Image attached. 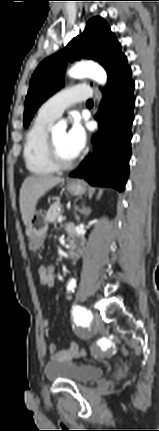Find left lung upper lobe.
Instances as JSON below:
<instances>
[{
	"label": "left lung upper lobe",
	"instance_id": "5c2ea615",
	"mask_svg": "<svg viewBox=\"0 0 159 431\" xmlns=\"http://www.w3.org/2000/svg\"><path fill=\"white\" fill-rule=\"evenodd\" d=\"M81 58L102 64L108 73V81L127 65L121 45L106 22L100 17L90 19L80 37H75L64 50L44 59L34 71L25 101V127L40 105L64 85L62 76L67 60L72 62Z\"/></svg>",
	"mask_w": 159,
	"mask_h": 431
}]
</instances>
